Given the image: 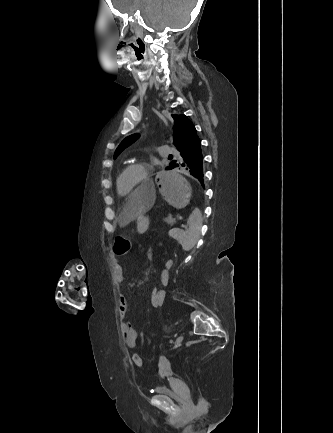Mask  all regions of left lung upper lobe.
<instances>
[{
  "label": "left lung upper lobe",
  "instance_id": "obj_1",
  "mask_svg": "<svg viewBox=\"0 0 333 433\" xmlns=\"http://www.w3.org/2000/svg\"><path fill=\"white\" fill-rule=\"evenodd\" d=\"M172 118L174 119L173 140L175 146L177 147L179 155L180 153L185 151L189 145L195 142L198 139V136L196 134V129L193 123L185 115L172 114ZM138 138V134H133L123 140V142L116 149L114 158H116L120 152H122L127 146L132 144ZM172 162L166 168L167 170L172 169Z\"/></svg>",
  "mask_w": 333,
  "mask_h": 433
}]
</instances>
